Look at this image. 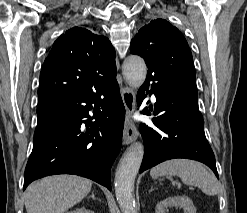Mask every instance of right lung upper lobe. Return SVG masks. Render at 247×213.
<instances>
[{
  "instance_id": "cb5924a9",
  "label": "right lung upper lobe",
  "mask_w": 247,
  "mask_h": 213,
  "mask_svg": "<svg viewBox=\"0 0 247 213\" xmlns=\"http://www.w3.org/2000/svg\"><path fill=\"white\" fill-rule=\"evenodd\" d=\"M115 50L103 35L73 27L61 35L45 59L38 103L65 92L88 91L116 77Z\"/></svg>"
}]
</instances>
